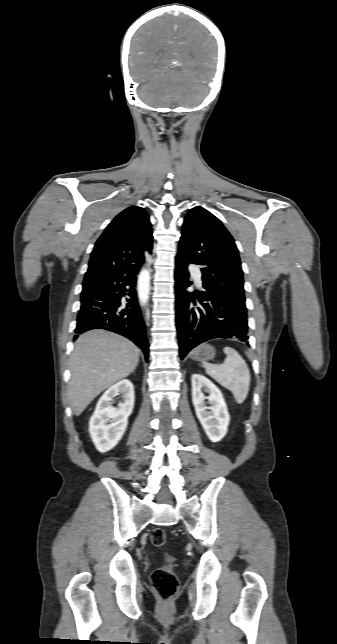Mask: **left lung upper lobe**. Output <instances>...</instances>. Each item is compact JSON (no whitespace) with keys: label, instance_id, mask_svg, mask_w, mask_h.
<instances>
[{"label":"left lung upper lobe","instance_id":"1","mask_svg":"<svg viewBox=\"0 0 337 644\" xmlns=\"http://www.w3.org/2000/svg\"><path fill=\"white\" fill-rule=\"evenodd\" d=\"M176 258L202 266V281L246 309L238 249L218 218L201 206L189 210Z\"/></svg>","mask_w":337,"mask_h":644}]
</instances>
